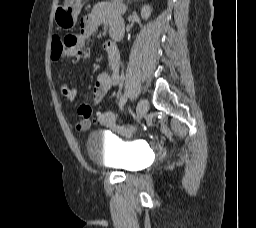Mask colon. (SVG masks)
Segmentation results:
<instances>
[{
  "label": "colon",
  "instance_id": "5ec220e1",
  "mask_svg": "<svg viewBox=\"0 0 256 228\" xmlns=\"http://www.w3.org/2000/svg\"><path fill=\"white\" fill-rule=\"evenodd\" d=\"M64 49V42L58 37L54 36L52 40V58L57 59L62 54ZM117 114L115 112H104L99 115L97 122L102 126H111L117 122Z\"/></svg>",
  "mask_w": 256,
  "mask_h": 228
}]
</instances>
